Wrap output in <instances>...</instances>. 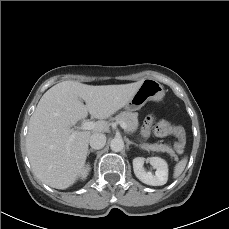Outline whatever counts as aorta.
I'll return each mask as SVG.
<instances>
[{
  "label": "aorta",
  "instance_id": "obj_1",
  "mask_svg": "<svg viewBox=\"0 0 229 229\" xmlns=\"http://www.w3.org/2000/svg\"><path fill=\"white\" fill-rule=\"evenodd\" d=\"M110 148L114 152H120L124 148V141L121 138H114L110 142Z\"/></svg>",
  "mask_w": 229,
  "mask_h": 229
}]
</instances>
